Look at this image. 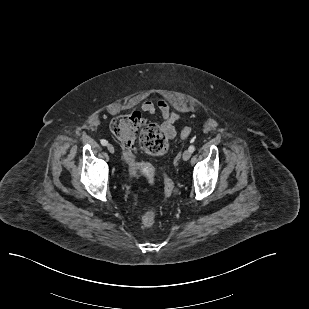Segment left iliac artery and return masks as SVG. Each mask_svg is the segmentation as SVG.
Listing matches in <instances>:
<instances>
[{
	"label": "left iliac artery",
	"mask_w": 309,
	"mask_h": 309,
	"mask_svg": "<svg viewBox=\"0 0 309 309\" xmlns=\"http://www.w3.org/2000/svg\"><path fill=\"white\" fill-rule=\"evenodd\" d=\"M188 150L192 153L195 150V146L194 145H190Z\"/></svg>",
	"instance_id": "1"
}]
</instances>
